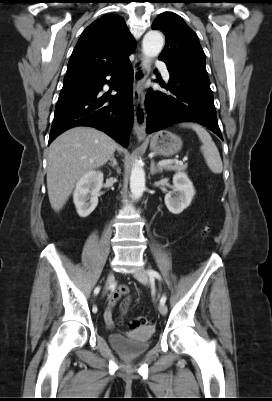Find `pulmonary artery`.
<instances>
[{"instance_id":"obj_1","label":"pulmonary artery","mask_w":272,"mask_h":401,"mask_svg":"<svg viewBox=\"0 0 272 401\" xmlns=\"http://www.w3.org/2000/svg\"><path fill=\"white\" fill-rule=\"evenodd\" d=\"M156 65L161 69L163 78L165 80H169L170 75H169V72L167 70L165 63L163 61H157Z\"/></svg>"}]
</instances>
